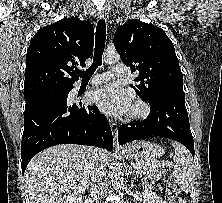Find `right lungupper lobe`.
Listing matches in <instances>:
<instances>
[{
    "label": "right lung upper lobe",
    "mask_w": 222,
    "mask_h": 203,
    "mask_svg": "<svg viewBox=\"0 0 222 203\" xmlns=\"http://www.w3.org/2000/svg\"><path fill=\"white\" fill-rule=\"evenodd\" d=\"M93 45L92 24L77 17L40 29L26 55L24 94L73 85L78 80L74 68L86 66Z\"/></svg>",
    "instance_id": "right-lung-upper-lobe-1"
}]
</instances>
